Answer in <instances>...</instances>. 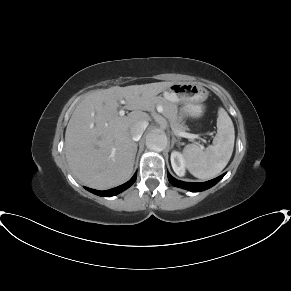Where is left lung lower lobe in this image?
Listing matches in <instances>:
<instances>
[{
	"instance_id": "obj_1",
	"label": "left lung lower lobe",
	"mask_w": 291,
	"mask_h": 291,
	"mask_svg": "<svg viewBox=\"0 0 291 291\" xmlns=\"http://www.w3.org/2000/svg\"><path fill=\"white\" fill-rule=\"evenodd\" d=\"M223 176L224 175H221L215 179H212L210 181L203 182V183H191V182H183V181L176 180L174 177H172L168 173V180L172 185L176 187L184 188L192 192H199V191H203L214 186L217 182H219L222 179Z\"/></svg>"
}]
</instances>
